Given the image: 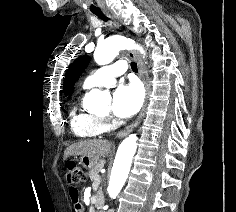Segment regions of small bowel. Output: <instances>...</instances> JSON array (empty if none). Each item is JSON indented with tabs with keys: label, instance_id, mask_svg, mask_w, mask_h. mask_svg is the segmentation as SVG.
I'll return each instance as SVG.
<instances>
[{
	"label": "small bowel",
	"instance_id": "small-bowel-1",
	"mask_svg": "<svg viewBox=\"0 0 236 212\" xmlns=\"http://www.w3.org/2000/svg\"><path fill=\"white\" fill-rule=\"evenodd\" d=\"M67 194L70 195L68 201L74 203V212H88V205H81V193L80 190H77V187H70Z\"/></svg>",
	"mask_w": 236,
	"mask_h": 212
}]
</instances>
